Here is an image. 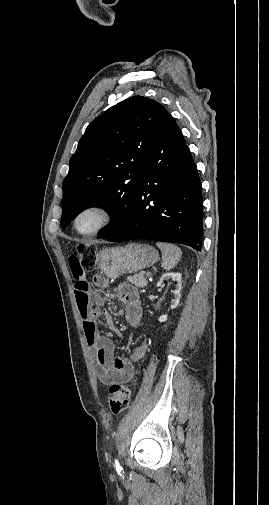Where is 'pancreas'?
Instances as JSON below:
<instances>
[{"label": "pancreas", "mask_w": 269, "mask_h": 505, "mask_svg": "<svg viewBox=\"0 0 269 505\" xmlns=\"http://www.w3.org/2000/svg\"><path fill=\"white\" fill-rule=\"evenodd\" d=\"M145 274L147 275L148 273L140 272L139 274L128 276L127 282L134 284L136 287H145L148 284Z\"/></svg>", "instance_id": "pancreas-1"}]
</instances>
